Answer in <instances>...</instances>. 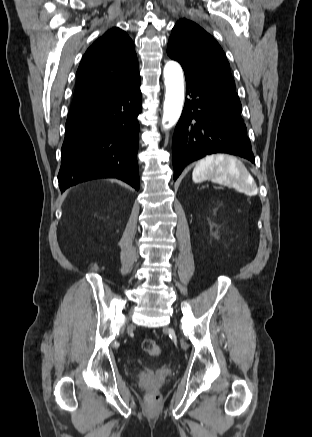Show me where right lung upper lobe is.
Masks as SVG:
<instances>
[{
    "label": "right lung upper lobe",
    "instance_id": "1",
    "mask_svg": "<svg viewBox=\"0 0 312 437\" xmlns=\"http://www.w3.org/2000/svg\"><path fill=\"white\" fill-rule=\"evenodd\" d=\"M139 76L134 43L119 28L108 30L83 56L70 113L118 93Z\"/></svg>",
    "mask_w": 312,
    "mask_h": 437
}]
</instances>
